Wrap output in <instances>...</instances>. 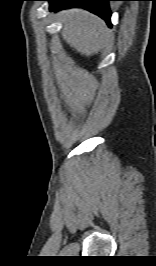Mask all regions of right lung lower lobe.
I'll return each instance as SVG.
<instances>
[{
	"mask_svg": "<svg viewBox=\"0 0 156 266\" xmlns=\"http://www.w3.org/2000/svg\"><path fill=\"white\" fill-rule=\"evenodd\" d=\"M50 2V10H60L63 8L80 7L84 8L101 18H103L109 26L110 23V8L108 2L111 0H44Z\"/></svg>",
	"mask_w": 156,
	"mask_h": 266,
	"instance_id": "98d812e1",
	"label": "right lung lower lobe"
}]
</instances>
